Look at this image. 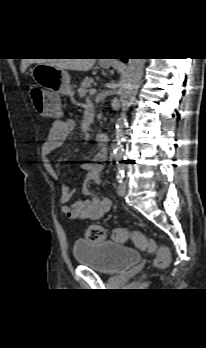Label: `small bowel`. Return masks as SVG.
<instances>
[{
  "instance_id": "c3829d8e",
  "label": "small bowel",
  "mask_w": 206,
  "mask_h": 348,
  "mask_svg": "<svg viewBox=\"0 0 206 348\" xmlns=\"http://www.w3.org/2000/svg\"><path fill=\"white\" fill-rule=\"evenodd\" d=\"M74 130V121L72 119L59 120L53 123L48 134L45 136L41 145V158L46 171L53 177L58 175L50 162L51 152L62 145ZM103 158V153L98 155ZM82 169L86 172V177L80 190L85 196L90 195V183H98L102 166L97 163H84ZM74 191L68 186L63 185L60 189V201L62 203V212L70 219L77 221L97 220L105 216L111 210V203L105 198L91 197L89 199L78 201L72 205L67 203L71 199Z\"/></svg>"
}]
</instances>
